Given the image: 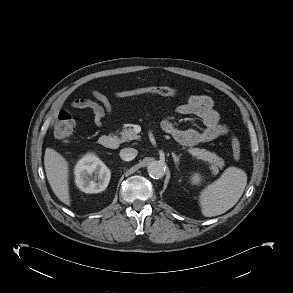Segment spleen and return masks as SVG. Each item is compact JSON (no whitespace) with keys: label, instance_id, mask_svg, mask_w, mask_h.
<instances>
[{"label":"spleen","instance_id":"3e777b00","mask_svg":"<svg viewBox=\"0 0 293 293\" xmlns=\"http://www.w3.org/2000/svg\"><path fill=\"white\" fill-rule=\"evenodd\" d=\"M247 185V174L240 168L228 167L214 182L200 193L202 214L206 217L221 215L241 198Z\"/></svg>","mask_w":293,"mask_h":293}]
</instances>
